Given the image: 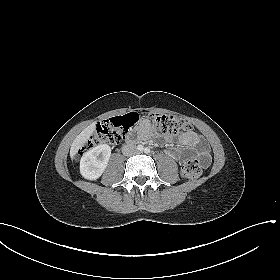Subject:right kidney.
<instances>
[{
	"label": "right kidney",
	"instance_id": "ca27d5eb",
	"mask_svg": "<svg viewBox=\"0 0 280 280\" xmlns=\"http://www.w3.org/2000/svg\"><path fill=\"white\" fill-rule=\"evenodd\" d=\"M111 156V148L100 144L83 154L80 160V173L88 180L98 179L105 171Z\"/></svg>",
	"mask_w": 280,
	"mask_h": 280
}]
</instances>
